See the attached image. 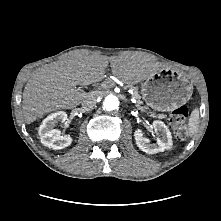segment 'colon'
<instances>
[{
	"instance_id": "obj_1",
	"label": "colon",
	"mask_w": 221,
	"mask_h": 221,
	"mask_svg": "<svg viewBox=\"0 0 221 221\" xmlns=\"http://www.w3.org/2000/svg\"><path fill=\"white\" fill-rule=\"evenodd\" d=\"M189 109L186 106H180L170 114V124L175 137L184 140L188 136L187 117Z\"/></svg>"
}]
</instances>
